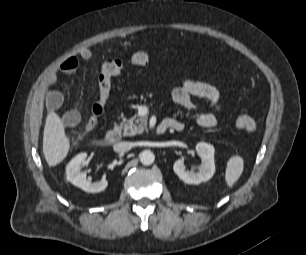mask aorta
Masks as SVG:
<instances>
[{
  "instance_id": "1",
  "label": "aorta",
  "mask_w": 306,
  "mask_h": 255,
  "mask_svg": "<svg viewBox=\"0 0 306 255\" xmlns=\"http://www.w3.org/2000/svg\"><path fill=\"white\" fill-rule=\"evenodd\" d=\"M139 158H140V162L146 166L151 165L155 160V156L153 152H151L150 150L142 151L139 155Z\"/></svg>"
}]
</instances>
